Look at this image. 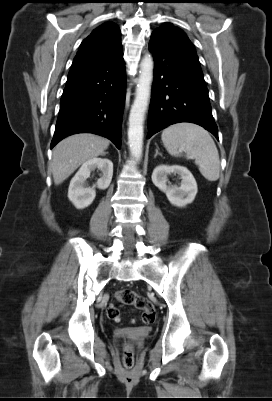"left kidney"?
Wrapping results in <instances>:
<instances>
[{
	"label": "left kidney",
	"mask_w": 272,
	"mask_h": 401,
	"mask_svg": "<svg viewBox=\"0 0 272 401\" xmlns=\"http://www.w3.org/2000/svg\"><path fill=\"white\" fill-rule=\"evenodd\" d=\"M171 173L180 175L182 179L180 187L167 185V175ZM152 182L166 194L169 202L177 207L192 203L198 191L196 180L191 172L179 165L157 166L152 173Z\"/></svg>",
	"instance_id": "1"
}]
</instances>
